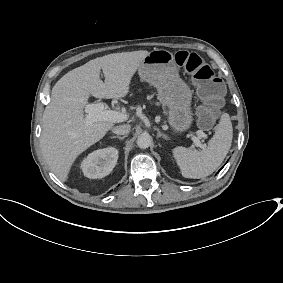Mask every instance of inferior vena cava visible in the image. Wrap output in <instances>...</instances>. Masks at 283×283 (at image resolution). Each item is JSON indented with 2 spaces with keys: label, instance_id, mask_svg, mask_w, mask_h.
Masks as SVG:
<instances>
[{
  "label": "inferior vena cava",
  "instance_id": "inferior-vena-cava-1",
  "mask_svg": "<svg viewBox=\"0 0 283 283\" xmlns=\"http://www.w3.org/2000/svg\"><path fill=\"white\" fill-rule=\"evenodd\" d=\"M130 125L124 124L113 128V133L118 135H126L130 132Z\"/></svg>",
  "mask_w": 283,
  "mask_h": 283
}]
</instances>
